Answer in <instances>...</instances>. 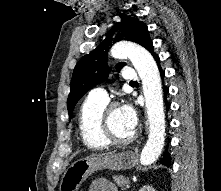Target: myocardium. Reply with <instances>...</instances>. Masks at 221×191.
<instances>
[{
  "instance_id": "myocardium-1",
  "label": "myocardium",
  "mask_w": 221,
  "mask_h": 191,
  "mask_svg": "<svg viewBox=\"0 0 221 191\" xmlns=\"http://www.w3.org/2000/svg\"><path fill=\"white\" fill-rule=\"evenodd\" d=\"M116 109H118L117 103H110L106 105L104 109L102 116L103 136L111 145H126L135 139L136 134L132 133L129 137H120L114 132L110 123V118Z\"/></svg>"
}]
</instances>
